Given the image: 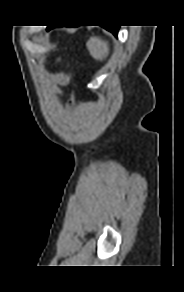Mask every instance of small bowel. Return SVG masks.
<instances>
[{
    "label": "small bowel",
    "instance_id": "1",
    "mask_svg": "<svg viewBox=\"0 0 184 292\" xmlns=\"http://www.w3.org/2000/svg\"><path fill=\"white\" fill-rule=\"evenodd\" d=\"M69 78H70V75L69 74H65V73H60V74H57L53 77L52 79V83L55 85V86H60L66 82L69 81Z\"/></svg>",
    "mask_w": 184,
    "mask_h": 292
}]
</instances>
